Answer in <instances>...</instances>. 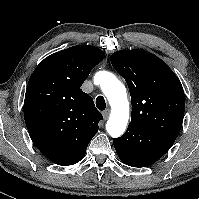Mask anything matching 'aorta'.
<instances>
[{
    "label": "aorta",
    "instance_id": "aorta-1",
    "mask_svg": "<svg viewBox=\"0 0 199 199\" xmlns=\"http://www.w3.org/2000/svg\"><path fill=\"white\" fill-rule=\"evenodd\" d=\"M98 76L101 90L107 97L112 109L106 130L111 137L117 138L124 133L129 120V102L126 88L114 74L108 71H100Z\"/></svg>",
    "mask_w": 199,
    "mask_h": 199
}]
</instances>
